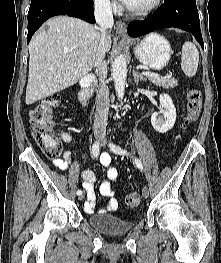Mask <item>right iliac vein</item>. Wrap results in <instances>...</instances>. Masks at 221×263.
<instances>
[{"label":"right iliac vein","mask_w":221,"mask_h":263,"mask_svg":"<svg viewBox=\"0 0 221 263\" xmlns=\"http://www.w3.org/2000/svg\"><path fill=\"white\" fill-rule=\"evenodd\" d=\"M84 198H85V194L84 193H82L81 195L78 196L79 200H83Z\"/></svg>","instance_id":"1"}]
</instances>
